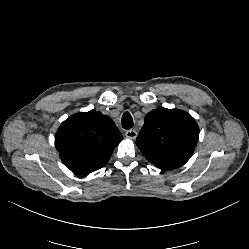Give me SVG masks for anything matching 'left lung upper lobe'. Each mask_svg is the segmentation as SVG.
<instances>
[{
  "label": "left lung upper lobe",
  "mask_w": 249,
  "mask_h": 249,
  "mask_svg": "<svg viewBox=\"0 0 249 249\" xmlns=\"http://www.w3.org/2000/svg\"><path fill=\"white\" fill-rule=\"evenodd\" d=\"M198 137L199 127L190 114L179 109L157 108L145 116L136 145L150 163L172 170L189 160Z\"/></svg>",
  "instance_id": "obj_1"
}]
</instances>
